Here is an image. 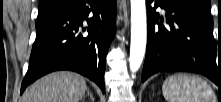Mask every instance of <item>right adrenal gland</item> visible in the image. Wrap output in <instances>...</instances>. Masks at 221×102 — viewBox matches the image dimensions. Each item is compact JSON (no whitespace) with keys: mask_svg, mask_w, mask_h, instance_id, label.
I'll return each mask as SVG.
<instances>
[{"mask_svg":"<svg viewBox=\"0 0 221 102\" xmlns=\"http://www.w3.org/2000/svg\"><path fill=\"white\" fill-rule=\"evenodd\" d=\"M86 96H89L91 98L92 102H94V96L91 94L89 89H87V95Z\"/></svg>","mask_w":221,"mask_h":102,"instance_id":"2a0ac1e0","label":"right adrenal gland"}]
</instances>
